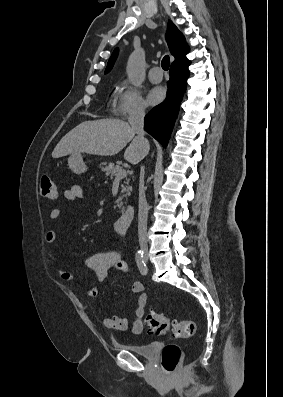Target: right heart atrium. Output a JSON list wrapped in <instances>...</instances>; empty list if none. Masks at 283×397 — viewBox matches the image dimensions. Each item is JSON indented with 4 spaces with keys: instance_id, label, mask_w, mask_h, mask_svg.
Wrapping results in <instances>:
<instances>
[{
    "instance_id": "d8ad5b80",
    "label": "right heart atrium",
    "mask_w": 283,
    "mask_h": 397,
    "mask_svg": "<svg viewBox=\"0 0 283 397\" xmlns=\"http://www.w3.org/2000/svg\"><path fill=\"white\" fill-rule=\"evenodd\" d=\"M112 112L118 118L129 120L144 115L146 104L138 89L122 81L114 96Z\"/></svg>"
}]
</instances>
